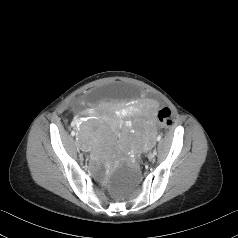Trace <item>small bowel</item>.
<instances>
[{
    "label": "small bowel",
    "instance_id": "1",
    "mask_svg": "<svg viewBox=\"0 0 238 238\" xmlns=\"http://www.w3.org/2000/svg\"><path fill=\"white\" fill-rule=\"evenodd\" d=\"M145 107H146L145 115L147 118V122L152 127L154 125V115H155L156 105L152 102H148L146 103ZM82 122H83V118L78 117L74 119V121L72 122V125L75 127H78Z\"/></svg>",
    "mask_w": 238,
    "mask_h": 238
}]
</instances>
